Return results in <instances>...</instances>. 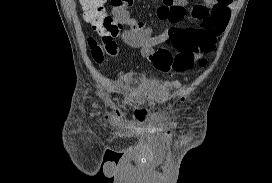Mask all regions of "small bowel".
Returning <instances> with one entry per match:
<instances>
[{
	"label": "small bowel",
	"mask_w": 272,
	"mask_h": 183,
	"mask_svg": "<svg viewBox=\"0 0 272 183\" xmlns=\"http://www.w3.org/2000/svg\"><path fill=\"white\" fill-rule=\"evenodd\" d=\"M186 4V0H161L157 14L167 25L160 35L154 36L150 25L128 15L127 29L117 35L126 45L139 50L143 57H150L156 46L165 45L173 56L174 70H188L214 48L228 24L234 0H203L190 10L193 25L184 24ZM110 118L120 121L123 115L116 111ZM133 120L143 122L142 113L136 112Z\"/></svg>",
	"instance_id": "1"
}]
</instances>
